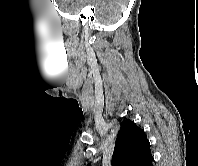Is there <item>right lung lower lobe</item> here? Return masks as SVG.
Returning <instances> with one entry per match:
<instances>
[{
	"label": "right lung lower lobe",
	"instance_id": "98d812e1",
	"mask_svg": "<svg viewBox=\"0 0 198 166\" xmlns=\"http://www.w3.org/2000/svg\"><path fill=\"white\" fill-rule=\"evenodd\" d=\"M153 161V157L151 156L148 161L144 164V166H151Z\"/></svg>",
	"mask_w": 198,
	"mask_h": 166
}]
</instances>
